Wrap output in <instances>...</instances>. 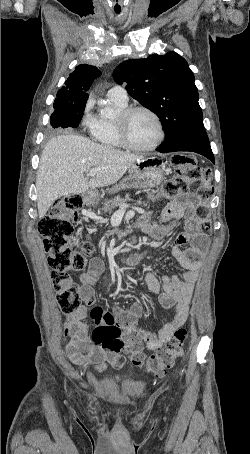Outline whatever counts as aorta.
Returning a JSON list of instances; mask_svg holds the SVG:
<instances>
[{"instance_id":"aorta-1","label":"aorta","mask_w":250,"mask_h":454,"mask_svg":"<svg viewBox=\"0 0 250 454\" xmlns=\"http://www.w3.org/2000/svg\"><path fill=\"white\" fill-rule=\"evenodd\" d=\"M99 105L105 106V110H106V111H109V110H110V107L108 106V104H107L105 101H100V102H99Z\"/></svg>"}]
</instances>
